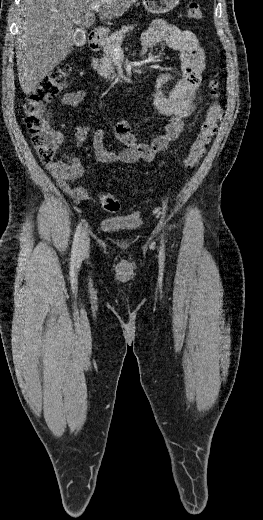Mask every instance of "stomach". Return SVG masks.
Instances as JSON below:
<instances>
[{"mask_svg": "<svg viewBox=\"0 0 263 520\" xmlns=\"http://www.w3.org/2000/svg\"><path fill=\"white\" fill-rule=\"evenodd\" d=\"M179 3V0H143V5L148 13L162 14L171 11Z\"/></svg>", "mask_w": 263, "mask_h": 520, "instance_id": "1", "label": "stomach"}]
</instances>
